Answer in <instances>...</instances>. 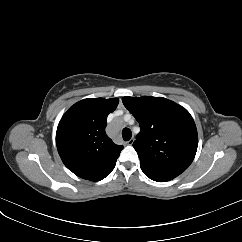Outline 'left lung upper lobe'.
<instances>
[{
	"instance_id": "obj_1",
	"label": "left lung upper lobe",
	"mask_w": 242,
	"mask_h": 242,
	"mask_svg": "<svg viewBox=\"0 0 242 242\" xmlns=\"http://www.w3.org/2000/svg\"><path fill=\"white\" fill-rule=\"evenodd\" d=\"M124 106L139 122L133 143L140 167L150 177L175 178L192 163L198 146L190 113L163 97H123Z\"/></svg>"
}]
</instances>
